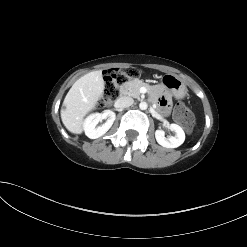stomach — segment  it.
I'll use <instances>...</instances> for the list:
<instances>
[{
    "label": "stomach",
    "instance_id": "1",
    "mask_svg": "<svg viewBox=\"0 0 247 247\" xmlns=\"http://www.w3.org/2000/svg\"><path fill=\"white\" fill-rule=\"evenodd\" d=\"M161 82L171 95L177 99L184 98L188 92L186 85L173 74H165Z\"/></svg>",
    "mask_w": 247,
    "mask_h": 247
}]
</instances>
